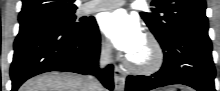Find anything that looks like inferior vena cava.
I'll return each instance as SVG.
<instances>
[{"label":"inferior vena cava","mask_w":220,"mask_h":91,"mask_svg":"<svg viewBox=\"0 0 220 91\" xmlns=\"http://www.w3.org/2000/svg\"><path fill=\"white\" fill-rule=\"evenodd\" d=\"M111 52H112V47L110 44H105L102 47L100 61H99L100 68L105 67L111 61ZM90 78L93 80L94 87L102 88L101 84L94 77H90Z\"/></svg>","instance_id":"inferior-vena-cava-1"}]
</instances>
